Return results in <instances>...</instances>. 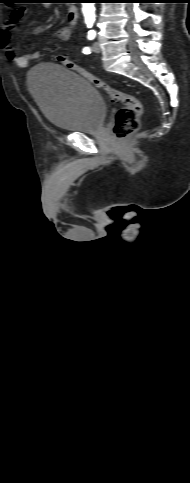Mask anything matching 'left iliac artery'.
<instances>
[{"mask_svg":"<svg viewBox=\"0 0 190 483\" xmlns=\"http://www.w3.org/2000/svg\"><path fill=\"white\" fill-rule=\"evenodd\" d=\"M95 36H96L95 31L90 30V31L88 32L87 38H88L89 40H93V39L95 38ZM83 53H84V54H90V53H91V49H90L89 47H85V48L83 49Z\"/></svg>","mask_w":190,"mask_h":483,"instance_id":"obj_1","label":"left iliac artery"}]
</instances>
